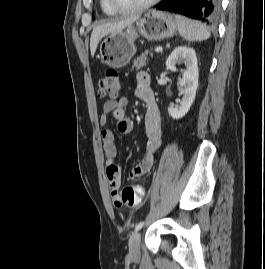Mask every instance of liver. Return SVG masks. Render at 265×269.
<instances>
[{"label": "liver", "mask_w": 265, "mask_h": 269, "mask_svg": "<svg viewBox=\"0 0 265 269\" xmlns=\"http://www.w3.org/2000/svg\"><path fill=\"white\" fill-rule=\"evenodd\" d=\"M138 19H139V16H134V17L125 18L122 20L112 21L109 23L95 26L91 33V38H90L91 56L93 57L95 55L97 46L104 36L110 33L121 32L123 29L132 25Z\"/></svg>", "instance_id": "6515ba94"}]
</instances>
